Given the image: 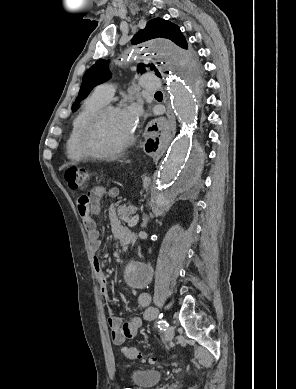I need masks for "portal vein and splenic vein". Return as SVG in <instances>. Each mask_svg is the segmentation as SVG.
Here are the masks:
<instances>
[{"mask_svg":"<svg viewBox=\"0 0 296 389\" xmlns=\"http://www.w3.org/2000/svg\"><path fill=\"white\" fill-rule=\"evenodd\" d=\"M138 220H139V216L138 215L134 216L132 219L129 220L128 226L134 227L138 223Z\"/></svg>","mask_w":296,"mask_h":389,"instance_id":"portal-vein-and-splenic-vein-1","label":"portal vein and splenic vein"}]
</instances>
